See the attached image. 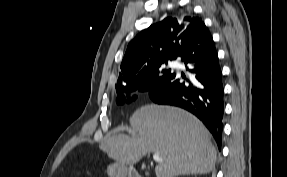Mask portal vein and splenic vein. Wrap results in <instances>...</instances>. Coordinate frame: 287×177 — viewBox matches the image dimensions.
<instances>
[{
  "label": "portal vein and splenic vein",
  "mask_w": 287,
  "mask_h": 177,
  "mask_svg": "<svg viewBox=\"0 0 287 177\" xmlns=\"http://www.w3.org/2000/svg\"><path fill=\"white\" fill-rule=\"evenodd\" d=\"M153 160H154L155 162H161V161H162V159H161L160 156H159V153H154V154H153Z\"/></svg>",
  "instance_id": "obj_1"
}]
</instances>
